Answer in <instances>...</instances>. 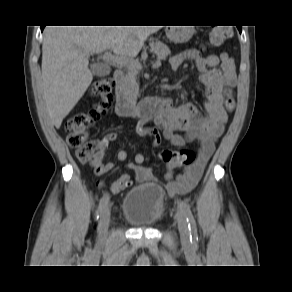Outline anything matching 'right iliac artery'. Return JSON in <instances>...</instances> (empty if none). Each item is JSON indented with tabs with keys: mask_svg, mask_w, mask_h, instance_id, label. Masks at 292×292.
Wrapping results in <instances>:
<instances>
[{
	"mask_svg": "<svg viewBox=\"0 0 292 292\" xmlns=\"http://www.w3.org/2000/svg\"><path fill=\"white\" fill-rule=\"evenodd\" d=\"M108 202H109V194L105 193L100 199V202L96 211L97 218L99 217V214L102 212L105 206L108 204Z\"/></svg>",
	"mask_w": 292,
	"mask_h": 292,
	"instance_id": "82829eb1",
	"label": "right iliac artery"
}]
</instances>
